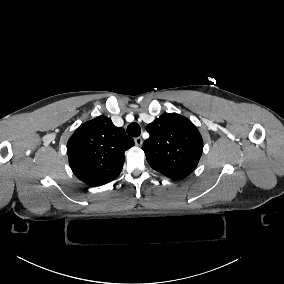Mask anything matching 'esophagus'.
Listing matches in <instances>:
<instances>
[{
    "instance_id": "obj_1",
    "label": "esophagus",
    "mask_w": 284,
    "mask_h": 284,
    "mask_svg": "<svg viewBox=\"0 0 284 284\" xmlns=\"http://www.w3.org/2000/svg\"><path fill=\"white\" fill-rule=\"evenodd\" d=\"M134 141H135V145L138 147H141V145L143 144V140L141 137H136Z\"/></svg>"
}]
</instances>
